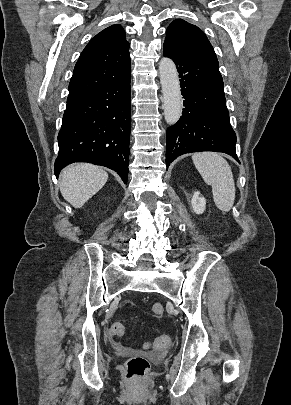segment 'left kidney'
I'll return each mask as SVG.
<instances>
[{"label":"left kidney","mask_w":291,"mask_h":405,"mask_svg":"<svg viewBox=\"0 0 291 405\" xmlns=\"http://www.w3.org/2000/svg\"><path fill=\"white\" fill-rule=\"evenodd\" d=\"M192 209L196 214H202L206 208V200L200 192H195L191 199Z\"/></svg>","instance_id":"obj_1"}]
</instances>
